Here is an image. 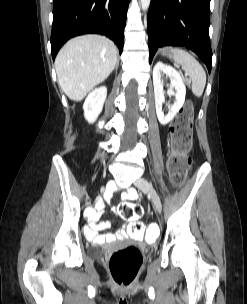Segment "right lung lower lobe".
I'll list each match as a JSON object with an SVG mask.
<instances>
[{
	"label": "right lung lower lobe",
	"mask_w": 247,
	"mask_h": 304,
	"mask_svg": "<svg viewBox=\"0 0 247 304\" xmlns=\"http://www.w3.org/2000/svg\"><path fill=\"white\" fill-rule=\"evenodd\" d=\"M130 0H53L52 58L70 38L87 33L106 35L124 45V27Z\"/></svg>",
	"instance_id": "obj_1"
}]
</instances>
